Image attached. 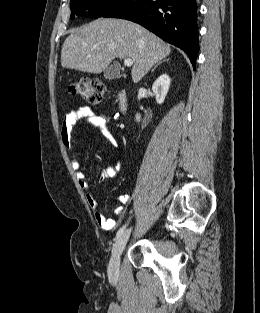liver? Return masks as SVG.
<instances>
[{
  "label": "liver",
  "instance_id": "liver-1",
  "mask_svg": "<svg viewBox=\"0 0 260 313\" xmlns=\"http://www.w3.org/2000/svg\"><path fill=\"white\" fill-rule=\"evenodd\" d=\"M170 46L144 27L124 19H97L72 31L62 46L61 66L99 74L115 58L132 59L131 77L138 83Z\"/></svg>",
  "mask_w": 260,
  "mask_h": 313
}]
</instances>
